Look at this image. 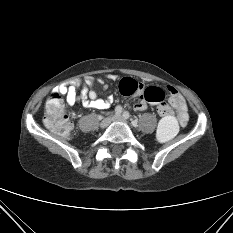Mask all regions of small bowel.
<instances>
[{
	"label": "small bowel",
	"mask_w": 233,
	"mask_h": 233,
	"mask_svg": "<svg viewBox=\"0 0 233 233\" xmlns=\"http://www.w3.org/2000/svg\"><path fill=\"white\" fill-rule=\"evenodd\" d=\"M98 83L95 79L89 77L86 79V84L89 90H84L80 95L77 91L82 84L81 79H73L68 85H61L56 92L63 95L68 104L74 105L81 103L83 106L93 109L105 110L108 109L112 104V98L103 100L98 97V93L95 89ZM169 92V103L175 109L177 118L182 125H185L188 120L187 105L184 97L173 87H168ZM147 105L144 100L139 101L134 105L136 111H144Z\"/></svg>",
	"instance_id": "c3829d8e"
}]
</instances>
